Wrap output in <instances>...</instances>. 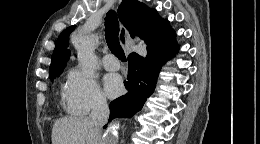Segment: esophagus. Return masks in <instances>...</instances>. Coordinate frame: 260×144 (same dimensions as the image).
<instances>
[{
    "instance_id": "1",
    "label": "esophagus",
    "mask_w": 260,
    "mask_h": 144,
    "mask_svg": "<svg viewBox=\"0 0 260 144\" xmlns=\"http://www.w3.org/2000/svg\"><path fill=\"white\" fill-rule=\"evenodd\" d=\"M126 36H127V30L126 28L121 24L120 25V31H119V39L121 41V44L124 46L126 43Z\"/></svg>"
}]
</instances>
